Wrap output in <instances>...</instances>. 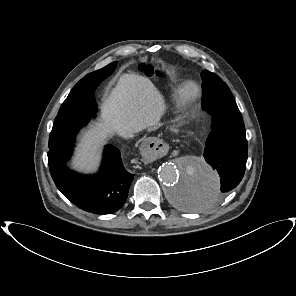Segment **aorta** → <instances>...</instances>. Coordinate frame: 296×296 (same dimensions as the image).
<instances>
[{
    "label": "aorta",
    "instance_id": "1",
    "mask_svg": "<svg viewBox=\"0 0 296 296\" xmlns=\"http://www.w3.org/2000/svg\"><path fill=\"white\" fill-rule=\"evenodd\" d=\"M158 177L170 204L182 212H199L211 206L220 189L218 174L203 160L187 157L181 166L165 163Z\"/></svg>",
    "mask_w": 296,
    "mask_h": 296
}]
</instances>
